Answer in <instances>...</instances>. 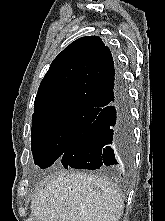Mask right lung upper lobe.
I'll return each instance as SVG.
<instances>
[{"label": "right lung upper lobe", "instance_id": "right-lung-upper-lobe-1", "mask_svg": "<svg viewBox=\"0 0 165 221\" xmlns=\"http://www.w3.org/2000/svg\"><path fill=\"white\" fill-rule=\"evenodd\" d=\"M117 78L111 52L101 38H79L51 63L39 86L34 114L65 107L100 110L114 97Z\"/></svg>", "mask_w": 165, "mask_h": 221}]
</instances>
